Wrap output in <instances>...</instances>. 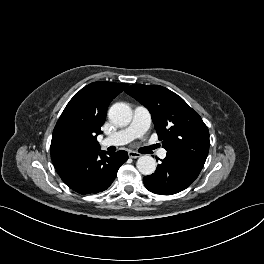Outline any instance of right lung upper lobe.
Segmentation results:
<instances>
[{
  "label": "right lung upper lobe",
  "mask_w": 264,
  "mask_h": 264,
  "mask_svg": "<svg viewBox=\"0 0 264 264\" xmlns=\"http://www.w3.org/2000/svg\"><path fill=\"white\" fill-rule=\"evenodd\" d=\"M128 84L93 82L67 104L52 134L51 158L56 170L100 151L97 135L110 102Z\"/></svg>",
  "instance_id": "obj_1"
}]
</instances>
